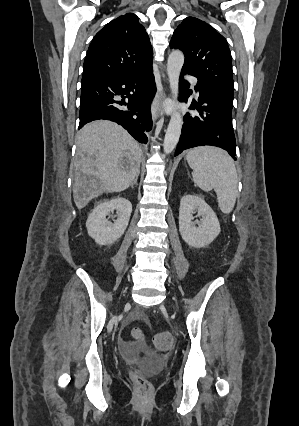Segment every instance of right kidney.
<instances>
[{"label": "right kidney", "mask_w": 299, "mask_h": 426, "mask_svg": "<svg viewBox=\"0 0 299 426\" xmlns=\"http://www.w3.org/2000/svg\"><path fill=\"white\" fill-rule=\"evenodd\" d=\"M114 211L117 213V219L111 223L106 216ZM131 212V202L123 197L118 196L99 203L86 221L89 236L99 245L113 244L124 234Z\"/></svg>", "instance_id": "right-kidney-1"}]
</instances>
